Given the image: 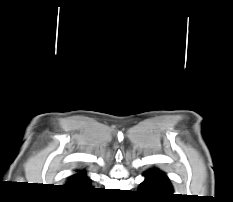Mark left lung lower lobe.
<instances>
[{"instance_id":"1","label":"left lung lower lobe","mask_w":233,"mask_h":202,"mask_svg":"<svg viewBox=\"0 0 233 202\" xmlns=\"http://www.w3.org/2000/svg\"><path fill=\"white\" fill-rule=\"evenodd\" d=\"M145 180L139 187V192L149 201L166 202L173 196L172 186L168 177L161 171L153 169L147 171Z\"/></svg>"}]
</instances>
